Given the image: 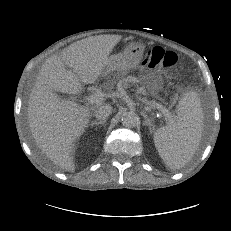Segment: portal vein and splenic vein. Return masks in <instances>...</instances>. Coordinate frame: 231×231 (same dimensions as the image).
<instances>
[{
    "label": "portal vein and splenic vein",
    "mask_w": 231,
    "mask_h": 231,
    "mask_svg": "<svg viewBox=\"0 0 231 231\" xmlns=\"http://www.w3.org/2000/svg\"><path fill=\"white\" fill-rule=\"evenodd\" d=\"M104 97L105 95L102 92H96V93L91 94L87 98V100L90 104H96V103L103 101ZM140 101H142L143 104L147 105L146 107L147 109L150 110L151 108H153V105L150 102H147L146 100L141 99V98H140ZM157 108L163 113V115L166 117L167 120L172 119L171 113L166 108H163L162 106L157 107Z\"/></svg>",
    "instance_id": "1"
}]
</instances>
